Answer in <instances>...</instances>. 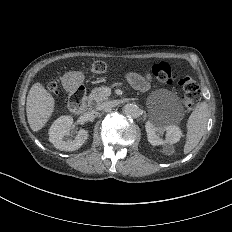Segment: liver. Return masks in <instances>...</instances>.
I'll return each mask as SVG.
<instances>
[{
    "mask_svg": "<svg viewBox=\"0 0 232 232\" xmlns=\"http://www.w3.org/2000/svg\"><path fill=\"white\" fill-rule=\"evenodd\" d=\"M55 98L41 84L36 82L30 88L26 100V113L33 132H39L51 119L55 111Z\"/></svg>",
    "mask_w": 232,
    "mask_h": 232,
    "instance_id": "6515ba94",
    "label": "liver"
}]
</instances>
